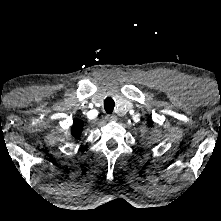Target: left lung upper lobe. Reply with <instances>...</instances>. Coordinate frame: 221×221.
Segmentation results:
<instances>
[{"instance_id": "left-lung-upper-lobe-1", "label": "left lung upper lobe", "mask_w": 221, "mask_h": 221, "mask_svg": "<svg viewBox=\"0 0 221 221\" xmlns=\"http://www.w3.org/2000/svg\"><path fill=\"white\" fill-rule=\"evenodd\" d=\"M149 124L151 125V124H153V122H152V121H149ZM150 125H149V126H150Z\"/></svg>"}]
</instances>
